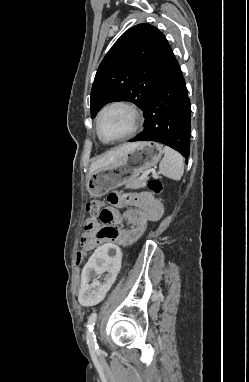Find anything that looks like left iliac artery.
<instances>
[{
	"mask_svg": "<svg viewBox=\"0 0 249 382\" xmlns=\"http://www.w3.org/2000/svg\"><path fill=\"white\" fill-rule=\"evenodd\" d=\"M96 319H97V313H92L89 316L88 322H87L86 337H87V344L90 351H94L99 348L96 341V335L94 334V325H95Z\"/></svg>",
	"mask_w": 249,
	"mask_h": 382,
	"instance_id": "left-iliac-artery-1",
	"label": "left iliac artery"
}]
</instances>
